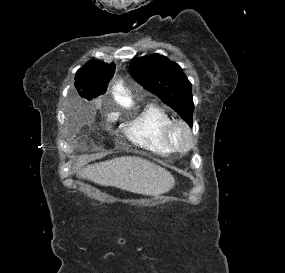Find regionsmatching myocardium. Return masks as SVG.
<instances>
[{"instance_id":"f54148a6","label":"myocardium","mask_w":285,"mask_h":273,"mask_svg":"<svg viewBox=\"0 0 285 273\" xmlns=\"http://www.w3.org/2000/svg\"><path fill=\"white\" fill-rule=\"evenodd\" d=\"M180 131L184 134V141L179 143L176 140L175 133ZM166 141L169 146L178 152H188L190 151L195 144V137L192 132L191 127L183 120L175 119L172 120L166 128L165 131Z\"/></svg>"}]
</instances>
